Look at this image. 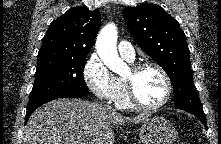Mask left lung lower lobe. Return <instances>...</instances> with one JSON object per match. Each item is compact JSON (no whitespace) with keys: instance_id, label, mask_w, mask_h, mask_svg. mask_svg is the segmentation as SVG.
<instances>
[{"instance_id":"left-lung-lower-lobe-1","label":"left lung lower lobe","mask_w":221,"mask_h":144,"mask_svg":"<svg viewBox=\"0 0 221 144\" xmlns=\"http://www.w3.org/2000/svg\"><path fill=\"white\" fill-rule=\"evenodd\" d=\"M181 110L187 111V112L195 115L196 117H198L200 119V121L203 123V125L207 128L204 112H199V111H194V110H189V109H181Z\"/></svg>"}]
</instances>
